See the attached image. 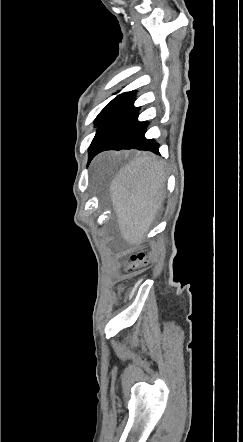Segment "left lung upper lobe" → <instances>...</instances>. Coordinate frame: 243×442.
I'll return each mask as SVG.
<instances>
[{
    "instance_id": "5c2ea615",
    "label": "left lung upper lobe",
    "mask_w": 243,
    "mask_h": 442,
    "mask_svg": "<svg viewBox=\"0 0 243 442\" xmlns=\"http://www.w3.org/2000/svg\"><path fill=\"white\" fill-rule=\"evenodd\" d=\"M128 93L129 92L118 95L115 99H113L110 103H108L105 106V108L99 113V115L96 117L95 126H97L99 122L102 120V118L105 116V114Z\"/></svg>"
}]
</instances>
